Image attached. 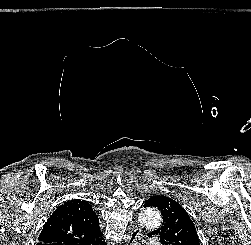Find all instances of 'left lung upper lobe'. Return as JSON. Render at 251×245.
Listing matches in <instances>:
<instances>
[{"label":"left lung upper lobe","instance_id":"1","mask_svg":"<svg viewBox=\"0 0 251 245\" xmlns=\"http://www.w3.org/2000/svg\"><path fill=\"white\" fill-rule=\"evenodd\" d=\"M144 207H155L163 215L162 226L151 232L165 245H200L196 228L187 212L175 200L156 195L147 200Z\"/></svg>","mask_w":251,"mask_h":245}]
</instances>
